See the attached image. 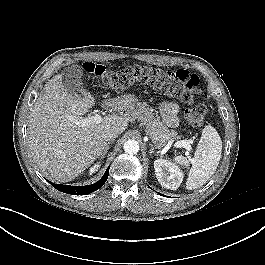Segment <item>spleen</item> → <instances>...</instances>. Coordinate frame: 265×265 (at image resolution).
Instances as JSON below:
<instances>
[{
  "instance_id": "spleen-1",
  "label": "spleen",
  "mask_w": 265,
  "mask_h": 265,
  "mask_svg": "<svg viewBox=\"0 0 265 265\" xmlns=\"http://www.w3.org/2000/svg\"><path fill=\"white\" fill-rule=\"evenodd\" d=\"M222 153V141L218 132L211 125L205 126L201 139L191 160L186 189H196L205 184L215 173ZM174 161L183 166H189V160L184 156H177Z\"/></svg>"
}]
</instances>
